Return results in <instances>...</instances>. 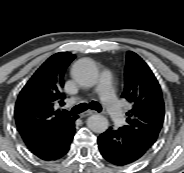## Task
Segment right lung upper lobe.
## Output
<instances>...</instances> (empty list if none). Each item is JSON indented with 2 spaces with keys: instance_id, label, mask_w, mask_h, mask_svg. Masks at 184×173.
Instances as JSON below:
<instances>
[{
  "instance_id": "right-lung-upper-lobe-1",
  "label": "right lung upper lobe",
  "mask_w": 184,
  "mask_h": 173,
  "mask_svg": "<svg viewBox=\"0 0 184 173\" xmlns=\"http://www.w3.org/2000/svg\"><path fill=\"white\" fill-rule=\"evenodd\" d=\"M74 58L69 52L52 55L21 90L14 114L24 141L76 119L57 109L65 104L64 74Z\"/></svg>"
}]
</instances>
